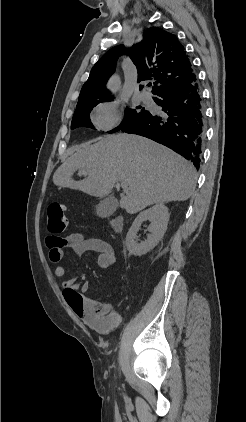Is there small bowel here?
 <instances>
[{
	"instance_id": "obj_1",
	"label": "small bowel",
	"mask_w": 246,
	"mask_h": 422,
	"mask_svg": "<svg viewBox=\"0 0 246 422\" xmlns=\"http://www.w3.org/2000/svg\"><path fill=\"white\" fill-rule=\"evenodd\" d=\"M46 244L49 249V260L52 263L60 262L66 249H71L76 255H82L88 251L98 253V264L103 269L110 268L117 262L115 250L108 242L98 238H85L80 233H73L64 238L52 235L47 238ZM66 274L64 266L55 267V277L63 278ZM88 288L89 284L84 274L62 283L64 299L78 317L89 327L106 333L119 323L120 316L113 311L110 303L85 296L84 293Z\"/></svg>"
}]
</instances>
